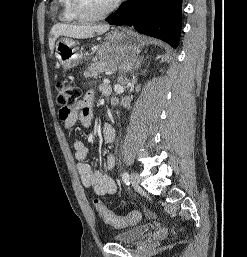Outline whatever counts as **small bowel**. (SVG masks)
Segmentation results:
<instances>
[{
	"instance_id": "1",
	"label": "small bowel",
	"mask_w": 247,
	"mask_h": 257,
	"mask_svg": "<svg viewBox=\"0 0 247 257\" xmlns=\"http://www.w3.org/2000/svg\"><path fill=\"white\" fill-rule=\"evenodd\" d=\"M103 85L100 86V90ZM94 93L89 91L83 99L78 100L68 110L61 109L59 112L60 119L63 121L65 129L73 128L77 123L84 127H89L93 119ZM102 139L105 144H110L115 139V129L112 125L106 123L102 128ZM75 158L77 160V171L80 175L81 182L85 187L92 188L95 194L112 195L117 190V185L113 177L102 171H95L85 161L89 148L81 140L73 143ZM114 165V157L109 155L107 158V167L111 169Z\"/></svg>"
}]
</instances>
